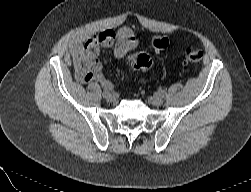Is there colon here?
Wrapping results in <instances>:
<instances>
[{
	"instance_id": "5ec220e1",
	"label": "colon",
	"mask_w": 251,
	"mask_h": 192,
	"mask_svg": "<svg viewBox=\"0 0 251 192\" xmlns=\"http://www.w3.org/2000/svg\"><path fill=\"white\" fill-rule=\"evenodd\" d=\"M168 44V39L162 36H156L152 40V47L156 51L165 49ZM184 57L187 63H198L203 57V52L189 47L186 48ZM128 64L136 70L147 71L150 69L152 61L147 54L140 53L129 56Z\"/></svg>"
}]
</instances>
